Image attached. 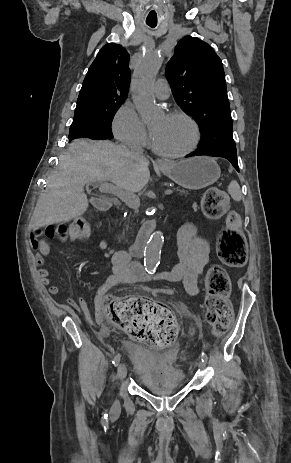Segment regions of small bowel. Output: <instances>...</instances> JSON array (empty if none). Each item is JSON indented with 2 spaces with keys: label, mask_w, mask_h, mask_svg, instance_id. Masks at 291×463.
Returning a JSON list of instances; mask_svg holds the SVG:
<instances>
[{
  "label": "small bowel",
  "mask_w": 291,
  "mask_h": 463,
  "mask_svg": "<svg viewBox=\"0 0 291 463\" xmlns=\"http://www.w3.org/2000/svg\"><path fill=\"white\" fill-rule=\"evenodd\" d=\"M69 239L71 238L63 237L61 240L68 241ZM32 245L37 250L35 264L38 267V274L42 284L49 285L48 290L51 294H59L60 288L56 285H50L49 272L43 266L45 258L51 253L49 244L46 240L35 236ZM98 247L104 253L109 252L108 243L104 239L98 242ZM209 252L208 242L197 236L195 227L189 224L184 225L178 233V263L170 270L160 273L156 279L168 282H182L188 294H198L201 274L208 263ZM112 265V274L106 278L102 289L118 284L145 282L153 279L149 275L146 276L147 273L144 267L133 260L129 251L118 250L112 253ZM68 302L76 311L82 313L91 324L100 323V301L98 298L95 300L96 312L94 319L84 299H69Z\"/></svg>",
  "instance_id": "c3829d8e"
}]
</instances>
